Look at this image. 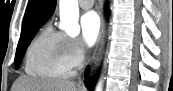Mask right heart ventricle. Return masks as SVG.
Returning a JSON list of instances; mask_svg holds the SVG:
<instances>
[{"mask_svg":"<svg viewBox=\"0 0 173 91\" xmlns=\"http://www.w3.org/2000/svg\"><path fill=\"white\" fill-rule=\"evenodd\" d=\"M28 75L42 79L68 78L72 74L64 48V36L50 27L43 29L26 53Z\"/></svg>","mask_w":173,"mask_h":91,"instance_id":"e07e8e85","label":"right heart ventricle"}]
</instances>
